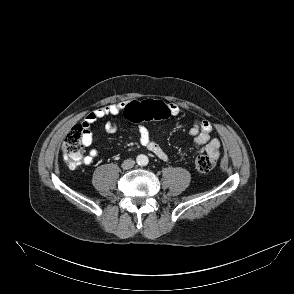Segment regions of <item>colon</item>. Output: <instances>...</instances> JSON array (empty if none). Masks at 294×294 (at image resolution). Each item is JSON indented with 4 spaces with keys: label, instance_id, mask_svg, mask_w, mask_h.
Listing matches in <instances>:
<instances>
[{
    "label": "colon",
    "instance_id": "obj_1",
    "mask_svg": "<svg viewBox=\"0 0 294 294\" xmlns=\"http://www.w3.org/2000/svg\"><path fill=\"white\" fill-rule=\"evenodd\" d=\"M123 114L126 119L136 123L150 120H163L171 116L168 105L159 100L130 102L125 106ZM83 136L84 130L82 126L77 125L69 131L63 141L62 151L64 160L72 168L79 166L83 162ZM195 164L200 173H209L215 167L216 159L208 154L199 155Z\"/></svg>",
    "mask_w": 294,
    "mask_h": 294
}]
</instances>
